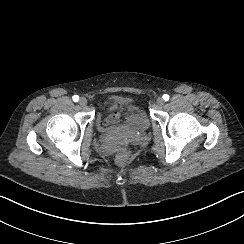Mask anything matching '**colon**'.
Returning <instances> with one entry per match:
<instances>
[{
    "label": "colon",
    "instance_id": "obj_1",
    "mask_svg": "<svg viewBox=\"0 0 244 244\" xmlns=\"http://www.w3.org/2000/svg\"><path fill=\"white\" fill-rule=\"evenodd\" d=\"M127 159H128V153L126 150L120 149L117 151L116 157H115V160L117 163L123 164L127 161Z\"/></svg>",
    "mask_w": 244,
    "mask_h": 244
}]
</instances>
